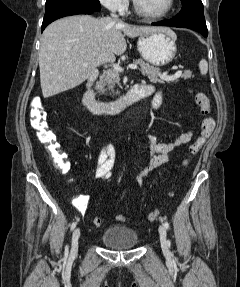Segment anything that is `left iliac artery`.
Listing matches in <instances>:
<instances>
[{
  "instance_id": "obj_1",
  "label": "left iliac artery",
  "mask_w": 240,
  "mask_h": 287,
  "mask_svg": "<svg viewBox=\"0 0 240 287\" xmlns=\"http://www.w3.org/2000/svg\"><path fill=\"white\" fill-rule=\"evenodd\" d=\"M164 227H165L166 229H169V227H170V226H169V223H168V222H165V223H164Z\"/></svg>"
}]
</instances>
